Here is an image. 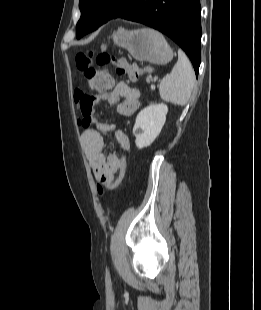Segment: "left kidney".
<instances>
[{
  "label": "left kidney",
  "instance_id": "5707ae66",
  "mask_svg": "<svg viewBox=\"0 0 261 310\" xmlns=\"http://www.w3.org/2000/svg\"><path fill=\"white\" fill-rule=\"evenodd\" d=\"M168 113L166 104H151L140 111L136 117L133 134L139 149L150 146L160 134Z\"/></svg>",
  "mask_w": 261,
  "mask_h": 310
}]
</instances>
